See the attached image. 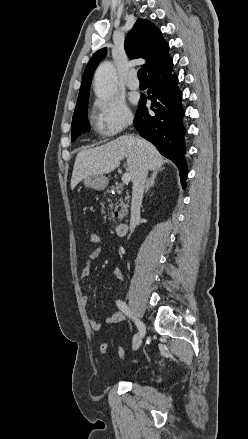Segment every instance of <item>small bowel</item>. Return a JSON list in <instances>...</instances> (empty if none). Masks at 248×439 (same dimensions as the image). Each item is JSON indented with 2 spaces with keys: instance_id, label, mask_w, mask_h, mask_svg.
<instances>
[{
  "instance_id": "c3829d8e",
  "label": "small bowel",
  "mask_w": 248,
  "mask_h": 439,
  "mask_svg": "<svg viewBox=\"0 0 248 439\" xmlns=\"http://www.w3.org/2000/svg\"><path fill=\"white\" fill-rule=\"evenodd\" d=\"M102 254V248H96L94 249L88 256L82 271H81V277L82 278H86L89 276L90 271H91V264L92 262L97 259L98 257H100V255ZM113 276L117 279V280H123V274L122 271L119 268H115L113 270ZM83 301L85 303L88 302V297L84 296L83 297ZM125 313L122 311H116L114 312L111 316H109L108 318H106V320L104 321L105 324H117V323H121L125 320ZM90 327L92 330L94 331H99L102 327V325L95 321V320H90L89 321Z\"/></svg>"
}]
</instances>
